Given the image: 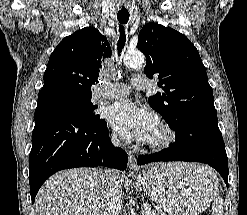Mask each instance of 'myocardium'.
<instances>
[{
    "mask_svg": "<svg viewBox=\"0 0 247 215\" xmlns=\"http://www.w3.org/2000/svg\"><path fill=\"white\" fill-rule=\"evenodd\" d=\"M159 136L155 140L147 141L146 147L151 151H162L167 149L175 139L173 129L164 122L158 124Z\"/></svg>",
    "mask_w": 247,
    "mask_h": 215,
    "instance_id": "obj_1",
    "label": "myocardium"
}]
</instances>
